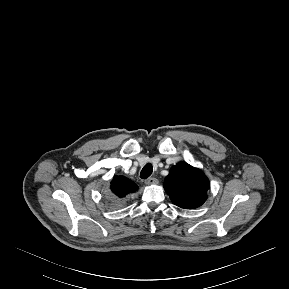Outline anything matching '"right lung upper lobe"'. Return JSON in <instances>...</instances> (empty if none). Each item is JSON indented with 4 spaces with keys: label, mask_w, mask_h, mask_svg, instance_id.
I'll list each match as a JSON object with an SVG mask.
<instances>
[{
    "label": "right lung upper lobe",
    "mask_w": 289,
    "mask_h": 289,
    "mask_svg": "<svg viewBox=\"0 0 289 289\" xmlns=\"http://www.w3.org/2000/svg\"><path fill=\"white\" fill-rule=\"evenodd\" d=\"M138 186L124 176L115 175L111 181V190L119 198L125 197L129 193H133Z\"/></svg>",
    "instance_id": "1"
}]
</instances>
